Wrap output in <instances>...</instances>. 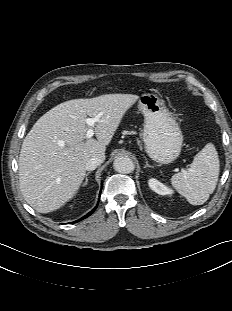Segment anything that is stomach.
I'll use <instances>...</instances> for the list:
<instances>
[{
	"label": "stomach",
	"instance_id": "1",
	"mask_svg": "<svg viewBox=\"0 0 232 311\" xmlns=\"http://www.w3.org/2000/svg\"><path fill=\"white\" fill-rule=\"evenodd\" d=\"M138 108L144 116L143 142L155 162L169 164L180 155L183 135L176 119L164 102L154 94H143Z\"/></svg>",
	"mask_w": 232,
	"mask_h": 311
}]
</instances>
